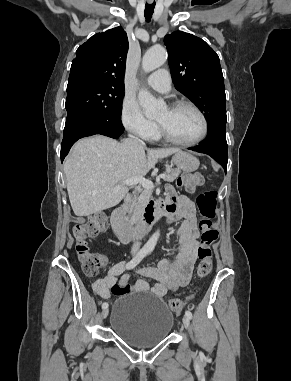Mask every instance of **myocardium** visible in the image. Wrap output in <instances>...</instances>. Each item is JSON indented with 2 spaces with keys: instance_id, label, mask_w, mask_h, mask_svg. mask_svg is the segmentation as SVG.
Segmentation results:
<instances>
[{
  "instance_id": "obj_1",
  "label": "myocardium",
  "mask_w": 291,
  "mask_h": 381,
  "mask_svg": "<svg viewBox=\"0 0 291 381\" xmlns=\"http://www.w3.org/2000/svg\"><path fill=\"white\" fill-rule=\"evenodd\" d=\"M180 108H190V109L194 110L199 115L201 122H202V129H201L200 134L193 140L182 141V140H179V139H176L175 137H173L160 123L157 122L158 134L162 138H164L166 141H168L172 144L179 145V146H186V147L194 146V145L198 144L199 142H201L206 137V135L208 133V119H207L206 115L204 114V112L196 104H194L190 101H178V102L173 103L169 107L170 110H177Z\"/></svg>"
}]
</instances>
